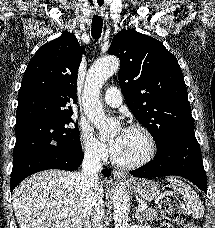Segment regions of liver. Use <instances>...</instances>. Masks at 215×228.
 I'll list each match as a JSON object with an SVG mask.
<instances>
[{
  "label": "liver",
  "mask_w": 215,
  "mask_h": 228,
  "mask_svg": "<svg viewBox=\"0 0 215 228\" xmlns=\"http://www.w3.org/2000/svg\"><path fill=\"white\" fill-rule=\"evenodd\" d=\"M74 174L44 170L21 182L12 194L19 228H83V208ZM102 188L108 180H99Z\"/></svg>",
  "instance_id": "obj_1"
}]
</instances>
